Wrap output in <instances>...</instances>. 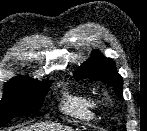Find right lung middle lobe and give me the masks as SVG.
I'll use <instances>...</instances> for the list:
<instances>
[{
    "mask_svg": "<svg viewBox=\"0 0 147 131\" xmlns=\"http://www.w3.org/2000/svg\"><path fill=\"white\" fill-rule=\"evenodd\" d=\"M49 88V82L29 77H16L7 82L0 101V127L16 116L39 111Z\"/></svg>",
    "mask_w": 147,
    "mask_h": 131,
    "instance_id": "obj_1",
    "label": "right lung middle lobe"
}]
</instances>
